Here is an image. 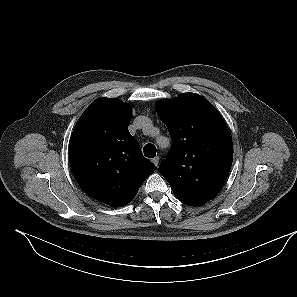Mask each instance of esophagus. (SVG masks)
Returning a JSON list of instances; mask_svg holds the SVG:
<instances>
[{
    "instance_id": "34e87169",
    "label": "esophagus",
    "mask_w": 297,
    "mask_h": 297,
    "mask_svg": "<svg viewBox=\"0 0 297 297\" xmlns=\"http://www.w3.org/2000/svg\"><path fill=\"white\" fill-rule=\"evenodd\" d=\"M152 162L154 163V165H155L156 167H158L159 157H158V156H157V157H154V158L152 159Z\"/></svg>"
}]
</instances>
